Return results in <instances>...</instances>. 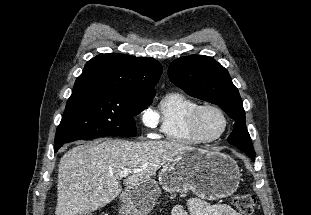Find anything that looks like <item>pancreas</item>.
Masks as SVG:
<instances>
[{
	"instance_id": "pancreas-1",
	"label": "pancreas",
	"mask_w": 311,
	"mask_h": 215,
	"mask_svg": "<svg viewBox=\"0 0 311 215\" xmlns=\"http://www.w3.org/2000/svg\"><path fill=\"white\" fill-rule=\"evenodd\" d=\"M174 196H175V195H171L170 198L172 199V198H174Z\"/></svg>"
}]
</instances>
